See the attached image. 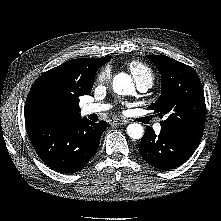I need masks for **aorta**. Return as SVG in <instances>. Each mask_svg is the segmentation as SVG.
Listing matches in <instances>:
<instances>
[{
    "label": "aorta",
    "mask_w": 221,
    "mask_h": 221,
    "mask_svg": "<svg viewBox=\"0 0 221 221\" xmlns=\"http://www.w3.org/2000/svg\"><path fill=\"white\" fill-rule=\"evenodd\" d=\"M131 76L126 73H119L113 79V89L119 95L129 94L133 90ZM144 129L140 124L132 123L127 126V134L132 139H140Z\"/></svg>",
    "instance_id": "aorta-1"
}]
</instances>
